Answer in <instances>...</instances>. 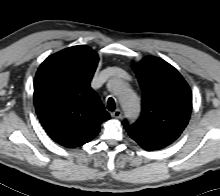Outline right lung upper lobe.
I'll return each mask as SVG.
<instances>
[{
  "label": "right lung upper lobe",
  "instance_id": "obj_1",
  "mask_svg": "<svg viewBox=\"0 0 220 196\" xmlns=\"http://www.w3.org/2000/svg\"><path fill=\"white\" fill-rule=\"evenodd\" d=\"M99 58L86 45L59 51L44 60L34 80V103L48 135L67 148L82 146L110 118L90 87Z\"/></svg>",
  "mask_w": 220,
  "mask_h": 196
}]
</instances>
